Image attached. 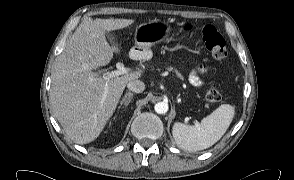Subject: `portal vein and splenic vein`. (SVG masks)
<instances>
[{"label": "portal vein and splenic vein", "mask_w": 294, "mask_h": 180, "mask_svg": "<svg viewBox=\"0 0 294 180\" xmlns=\"http://www.w3.org/2000/svg\"><path fill=\"white\" fill-rule=\"evenodd\" d=\"M116 68H117L116 70H113V71H111V72H104V73L102 74L103 79H104V80H109V79H111V78H114V77H118V76H120V75L127 74V73H129V72L131 71L130 68H126V67L124 66V64L121 63V62H118V63L116 64Z\"/></svg>", "instance_id": "portal-vein-and-splenic-vein-1"}]
</instances>
